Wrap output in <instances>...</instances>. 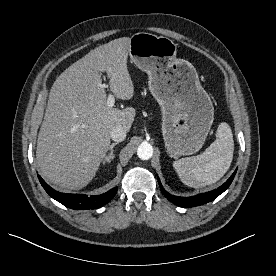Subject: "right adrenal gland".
Returning a JSON list of instances; mask_svg holds the SVG:
<instances>
[{"mask_svg":"<svg viewBox=\"0 0 276 276\" xmlns=\"http://www.w3.org/2000/svg\"><path fill=\"white\" fill-rule=\"evenodd\" d=\"M118 143H112L111 145H110V147H109V154L105 157V159L103 160V164L105 165V163H110L113 159H114V157H115V155L113 154V149H114V147L117 145Z\"/></svg>","mask_w":276,"mask_h":276,"instance_id":"1","label":"right adrenal gland"}]
</instances>
